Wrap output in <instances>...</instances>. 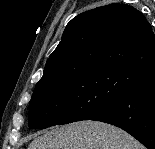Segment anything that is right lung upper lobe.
Listing matches in <instances>:
<instances>
[{"mask_svg":"<svg viewBox=\"0 0 155 149\" xmlns=\"http://www.w3.org/2000/svg\"><path fill=\"white\" fill-rule=\"evenodd\" d=\"M155 75V37L146 18L126 4L86 11L66 26L40 81L100 69ZM39 81V82H40Z\"/></svg>","mask_w":155,"mask_h":149,"instance_id":"right-lung-upper-lobe-1","label":"right lung upper lobe"}]
</instances>
